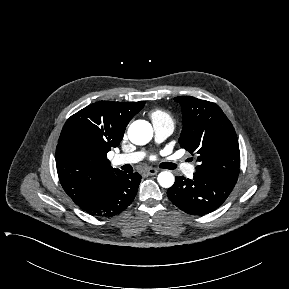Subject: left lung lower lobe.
Masks as SVG:
<instances>
[{
	"mask_svg": "<svg viewBox=\"0 0 289 289\" xmlns=\"http://www.w3.org/2000/svg\"><path fill=\"white\" fill-rule=\"evenodd\" d=\"M234 186L235 184L217 177L195 172L193 179L176 177L167 195L182 211L192 215H204L220 207Z\"/></svg>",
	"mask_w": 289,
	"mask_h": 289,
	"instance_id": "obj_1",
	"label": "left lung lower lobe"
}]
</instances>
